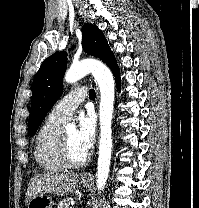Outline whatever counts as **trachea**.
I'll return each mask as SVG.
<instances>
[{
  "label": "trachea",
  "instance_id": "trachea-1",
  "mask_svg": "<svg viewBox=\"0 0 199 208\" xmlns=\"http://www.w3.org/2000/svg\"><path fill=\"white\" fill-rule=\"evenodd\" d=\"M89 97L91 99H94L96 97V93H95V90L94 89H90L89 90Z\"/></svg>",
  "mask_w": 199,
  "mask_h": 208
}]
</instances>
